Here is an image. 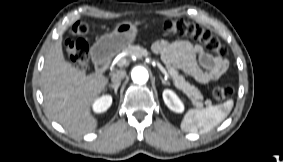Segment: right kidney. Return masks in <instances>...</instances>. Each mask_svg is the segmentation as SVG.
Returning a JSON list of instances; mask_svg holds the SVG:
<instances>
[{"label":"right kidney","mask_w":283,"mask_h":162,"mask_svg":"<svg viewBox=\"0 0 283 162\" xmlns=\"http://www.w3.org/2000/svg\"><path fill=\"white\" fill-rule=\"evenodd\" d=\"M112 104V97L109 95H104L96 99L93 103V110L96 113L105 112Z\"/></svg>","instance_id":"ca27d5eb"}]
</instances>
